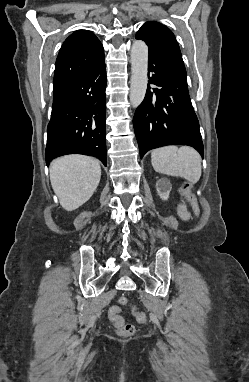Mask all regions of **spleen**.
Listing matches in <instances>:
<instances>
[{"mask_svg":"<svg viewBox=\"0 0 249 382\" xmlns=\"http://www.w3.org/2000/svg\"><path fill=\"white\" fill-rule=\"evenodd\" d=\"M151 162L156 172L179 176L191 183L199 181L202 174L201 156L189 146H167L151 152Z\"/></svg>","mask_w":249,"mask_h":382,"instance_id":"spleen-1","label":"spleen"}]
</instances>
